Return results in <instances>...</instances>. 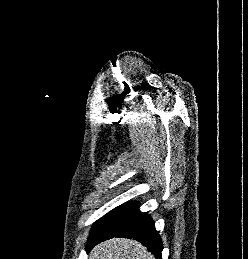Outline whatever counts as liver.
Instances as JSON below:
<instances>
[{
  "label": "liver",
  "instance_id": "6515ba94",
  "mask_svg": "<svg viewBox=\"0 0 248 259\" xmlns=\"http://www.w3.org/2000/svg\"><path fill=\"white\" fill-rule=\"evenodd\" d=\"M89 259H155L139 242L126 238H113L97 245Z\"/></svg>",
  "mask_w": 248,
  "mask_h": 259
}]
</instances>
